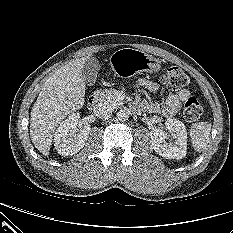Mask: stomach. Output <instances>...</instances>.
<instances>
[{
	"label": "stomach",
	"mask_w": 233,
	"mask_h": 233,
	"mask_svg": "<svg viewBox=\"0 0 233 233\" xmlns=\"http://www.w3.org/2000/svg\"><path fill=\"white\" fill-rule=\"evenodd\" d=\"M112 70L119 76L129 77L141 72H157L161 65L158 59L145 52L133 48L115 51L110 57Z\"/></svg>",
	"instance_id": "stomach-1"
}]
</instances>
